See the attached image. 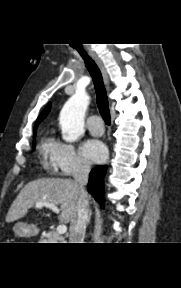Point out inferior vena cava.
<instances>
[{
    "instance_id": "602c4592",
    "label": "inferior vena cava",
    "mask_w": 181,
    "mask_h": 288,
    "mask_svg": "<svg viewBox=\"0 0 181 288\" xmlns=\"http://www.w3.org/2000/svg\"><path fill=\"white\" fill-rule=\"evenodd\" d=\"M89 173L90 166L86 163H80L74 174L79 198L77 203V214L70 223L69 243H83L84 240L89 212L88 195L84 186L88 183Z\"/></svg>"
}]
</instances>
